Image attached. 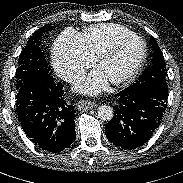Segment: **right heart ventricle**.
<instances>
[{"label": "right heart ventricle", "instance_id": "right-heart-ventricle-1", "mask_svg": "<svg viewBox=\"0 0 183 183\" xmlns=\"http://www.w3.org/2000/svg\"><path fill=\"white\" fill-rule=\"evenodd\" d=\"M135 35L134 32L119 24H99L86 28L80 34L87 53L94 59L118 39Z\"/></svg>", "mask_w": 183, "mask_h": 183}]
</instances>
